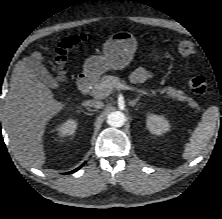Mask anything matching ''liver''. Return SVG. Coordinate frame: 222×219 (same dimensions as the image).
I'll list each match as a JSON object with an SVG mask.
<instances>
[{
  "label": "liver",
  "mask_w": 222,
  "mask_h": 219,
  "mask_svg": "<svg viewBox=\"0 0 222 219\" xmlns=\"http://www.w3.org/2000/svg\"><path fill=\"white\" fill-rule=\"evenodd\" d=\"M30 59L40 62L44 58L41 52L35 51L16 63L5 99L4 120L20 160L41 168L46 159L43 146L45 127L65 104L54 99L49 87L33 73L32 63H28Z\"/></svg>",
  "instance_id": "1"
}]
</instances>
